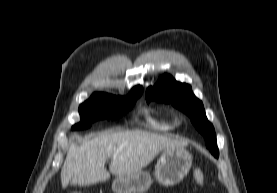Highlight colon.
<instances>
[{
	"mask_svg": "<svg viewBox=\"0 0 277 193\" xmlns=\"http://www.w3.org/2000/svg\"><path fill=\"white\" fill-rule=\"evenodd\" d=\"M193 178H194V181L197 183V184H202L203 183V180H204V174L202 172V170L200 169H195L193 171ZM72 193H82L80 191H74Z\"/></svg>",
	"mask_w": 277,
	"mask_h": 193,
	"instance_id": "1",
	"label": "colon"
}]
</instances>
